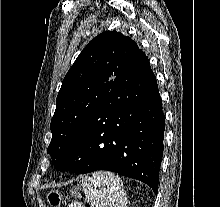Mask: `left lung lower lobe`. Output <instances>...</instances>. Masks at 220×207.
<instances>
[{
	"label": "left lung lower lobe",
	"instance_id": "left-lung-lower-lobe-1",
	"mask_svg": "<svg viewBox=\"0 0 220 207\" xmlns=\"http://www.w3.org/2000/svg\"><path fill=\"white\" fill-rule=\"evenodd\" d=\"M164 120L156 77L139 49L83 134L54 167L77 174L116 172L146 183L157 194Z\"/></svg>",
	"mask_w": 220,
	"mask_h": 207
}]
</instances>
